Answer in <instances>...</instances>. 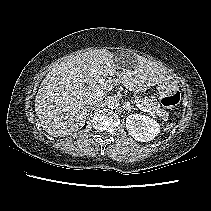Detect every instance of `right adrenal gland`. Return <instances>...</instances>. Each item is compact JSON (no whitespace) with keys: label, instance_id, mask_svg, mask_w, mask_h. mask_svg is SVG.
Segmentation results:
<instances>
[{"label":"right adrenal gland","instance_id":"1","mask_svg":"<svg viewBox=\"0 0 211 211\" xmlns=\"http://www.w3.org/2000/svg\"><path fill=\"white\" fill-rule=\"evenodd\" d=\"M92 108H93L92 106H90V107L88 108V116H89L90 111H91Z\"/></svg>","mask_w":211,"mask_h":211}]
</instances>
